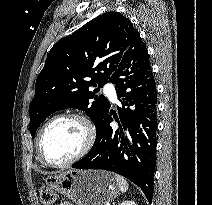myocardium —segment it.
Returning <instances> with one entry per match:
<instances>
[{"mask_svg": "<svg viewBox=\"0 0 212 205\" xmlns=\"http://www.w3.org/2000/svg\"><path fill=\"white\" fill-rule=\"evenodd\" d=\"M63 119H73V120L78 121L84 128L85 141H84L82 148L76 155H74L73 157H71L70 159H68L64 162L52 163V162L48 161L43 154L42 140H43V136H44L46 130L53 123H55L59 120H63ZM95 141H96V128H95L93 122L90 120V118L88 116H86L85 114H82L79 112H66V113H61V114H58V115L52 117L50 120H48L42 126V128L38 134V137H37V152H38L39 159L47 166H50L53 168H63V167L69 166V165L79 161L83 157H85L90 152L92 147L94 146Z\"/></svg>", "mask_w": 212, "mask_h": 205, "instance_id": "1", "label": "myocardium"}]
</instances>
